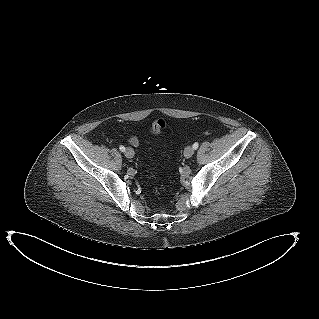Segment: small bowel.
I'll return each mask as SVG.
<instances>
[{
	"label": "small bowel",
	"mask_w": 319,
	"mask_h": 319,
	"mask_svg": "<svg viewBox=\"0 0 319 319\" xmlns=\"http://www.w3.org/2000/svg\"><path fill=\"white\" fill-rule=\"evenodd\" d=\"M129 142L134 145V146H138L139 145V141L136 137H132L130 138Z\"/></svg>",
	"instance_id": "1"
}]
</instances>
